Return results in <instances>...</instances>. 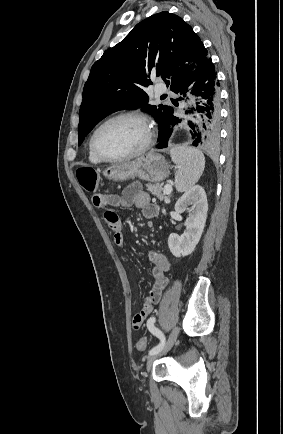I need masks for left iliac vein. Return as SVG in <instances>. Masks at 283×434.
<instances>
[{
    "mask_svg": "<svg viewBox=\"0 0 283 434\" xmlns=\"http://www.w3.org/2000/svg\"><path fill=\"white\" fill-rule=\"evenodd\" d=\"M178 331H179V328L177 326L174 327L172 332L170 333L169 338H168L166 344L164 345V347L159 352L151 355L148 358L147 364H146L147 372H149L151 370L152 365L157 358H159L163 354L167 353L172 348V346L174 345V342L176 341Z\"/></svg>",
    "mask_w": 283,
    "mask_h": 434,
    "instance_id": "1",
    "label": "left iliac vein"
}]
</instances>
